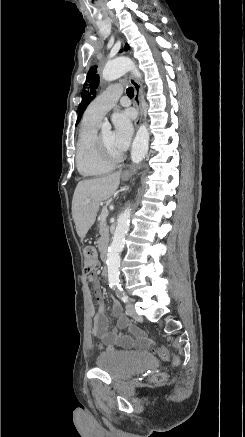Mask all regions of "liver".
Instances as JSON below:
<instances>
[{
	"label": "liver",
	"mask_w": 245,
	"mask_h": 437,
	"mask_svg": "<svg viewBox=\"0 0 245 437\" xmlns=\"http://www.w3.org/2000/svg\"><path fill=\"white\" fill-rule=\"evenodd\" d=\"M121 172L80 181L72 199V217L76 232L84 239L96 220L100 203L110 198L120 184Z\"/></svg>",
	"instance_id": "6515ba94"
}]
</instances>
